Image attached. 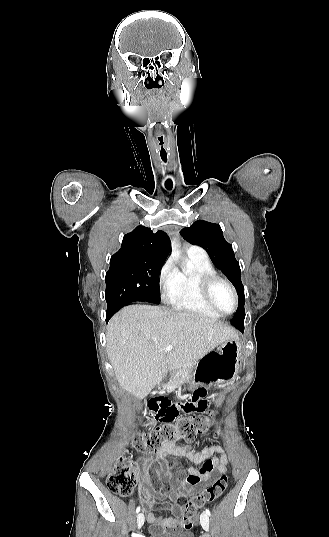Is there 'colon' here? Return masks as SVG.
Returning <instances> with one entry per match:
<instances>
[{
	"label": "colon",
	"mask_w": 329,
	"mask_h": 537,
	"mask_svg": "<svg viewBox=\"0 0 329 537\" xmlns=\"http://www.w3.org/2000/svg\"><path fill=\"white\" fill-rule=\"evenodd\" d=\"M154 413L152 417L155 418L157 411ZM210 425V418L206 416H193L179 420L176 424H161L150 432L135 433L132 437L131 446L140 453L151 454L159 450L164 443H172L180 438L192 441L197 435L206 433L210 429ZM136 482L137 472L132 462L125 458H120L119 463L107 474L106 478L108 489L123 497L131 494ZM227 486L228 477L222 475L211 486L191 497L181 507L183 528L192 533L194 531L193 519L196 512L205 504H209L220 497Z\"/></svg>",
	"instance_id": "obj_1"
}]
</instances>
